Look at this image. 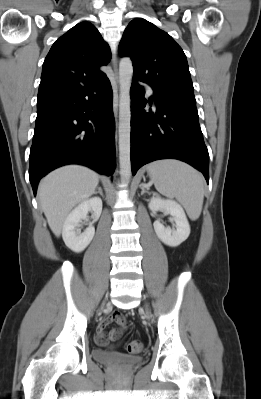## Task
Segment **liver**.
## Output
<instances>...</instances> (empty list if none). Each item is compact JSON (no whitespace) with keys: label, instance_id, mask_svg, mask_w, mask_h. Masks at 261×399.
Returning <instances> with one entry per match:
<instances>
[{"label":"liver","instance_id":"liver-1","mask_svg":"<svg viewBox=\"0 0 261 399\" xmlns=\"http://www.w3.org/2000/svg\"><path fill=\"white\" fill-rule=\"evenodd\" d=\"M99 175L84 166L68 165L44 177L38 187L42 210L52 232L59 237L69 212L95 193Z\"/></svg>","mask_w":261,"mask_h":399}]
</instances>
